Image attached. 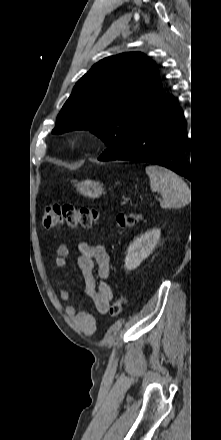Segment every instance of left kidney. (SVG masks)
<instances>
[{
    "instance_id": "5707ae66",
    "label": "left kidney",
    "mask_w": 221,
    "mask_h": 440,
    "mask_svg": "<svg viewBox=\"0 0 221 440\" xmlns=\"http://www.w3.org/2000/svg\"><path fill=\"white\" fill-rule=\"evenodd\" d=\"M160 229H152L130 243L125 257V268L136 269L145 260L157 245L160 239Z\"/></svg>"
}]
</instances>
